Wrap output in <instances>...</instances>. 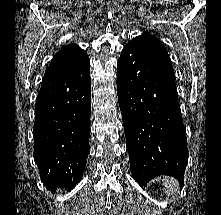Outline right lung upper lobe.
<instances>
[{
    "mask_svg": "<svg viewBox=\"0 0 221 215\" xmlns=\"http://www.w3.org/2000/svg\"><path fill=\"white\" fill-rule=\"evenodd\" d=\"M87 57V52L76 44L63 47L45 71L44 78L63 72Z\"/></svg>",
    "mask_w": 221,
    "mask_h": 215,
    "instance_id": "cb5924a9",
    "label": "right lung upper lobe"
}]
</instances>
